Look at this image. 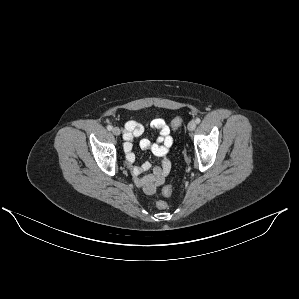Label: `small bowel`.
<instances>
[{
    "instance_id": "1",
    "label": "small bowel",
    "mask_w": 299,
    "mask_h": 299,
    "mask_svg": "<svg viewBox=\"0 0 299 299\" xmlns=\"http://www.w3.org/2000/svg\"><path fill=\"white\" fill-rule=\"evenodd\" d=\"M148 127L158 131L159 137L156 143H151L143 138L139 141V146L143 150L151 151L156 157L160 158L159 166H156L151 173L142 175L151 167L149 162H144L141 166L135 165V154L133 152V140L140 137ZM124 151L129 169L131 170L136 185L142 187L146 194L155 193L156 189L164 184L171 170V160L168 152L173 145L171 127L161 118H155L146 124L129 121L125 125Z\"/></svg>"
}]
</instances>
